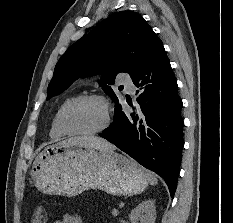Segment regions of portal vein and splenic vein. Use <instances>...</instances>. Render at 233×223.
Instances as JSON below:
<instances>
[{
    "label": "portal vein and splenic vein",
    "mask_w": 233,
    "mask_h": 223,
    "mask_svg": "<svg viewBox=\"0 0 233 223\" xmlns=\"http://www.w3.org/2000/svg\"><path fill=\"white\" fill-rule=\"evenodd\" d=\"M112 213L113 215H118V209H113Z\"/></svg>",
    "instance_id": "18ae733b"
}]
</instances>
